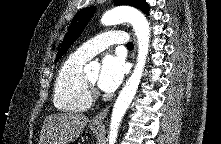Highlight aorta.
Returning <instances> with one entry per match:
<instances>
[{"label": "aorta", "mask_w": 221, "mask_h": 144, "mask_svg": "<svg viewBox=\"0 0 221 144\" xmlns=\"http://www.w3.org/2000/svg\"><path fill=\"white\" fill-rule=\"evenodd\" d=\"M123 22L130 23L135 30L138 42V56L133 73L121 90L112 110L108 135L109 144H115L116 142L122 118L131 104L140 84L149 51L150 27L147 19L140 11L132 7H116L107 11L101 18V23L105 26L116 25ZM92 69H99V63L92 61L85 66V71Z\"/></svg>", "instance_id": "1"}]
</instances>
